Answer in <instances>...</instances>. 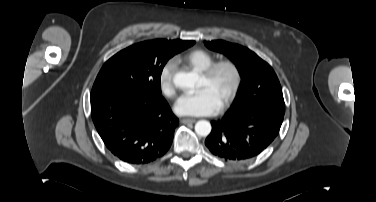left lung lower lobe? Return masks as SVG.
I'll list each match as a JSON object with an SVG mask.
<instances>
[{"label": "left lung lower lobe", "instance_id": "0a47b994", "mask_svg": "<svg viewBox=\"0 0 376 202\" xmlns=\"http://www.w3.org/2000/svg\"><path fill=\"white\" fill-rule=\"evenodd\" d=\"M284 114L263 106L227 112L212 121L206 146L225 161H243L261 153L278 135Z\"/></svg>", "mask_w": 376, "mask_h": 202}]
</instances>
